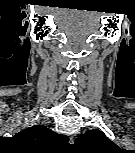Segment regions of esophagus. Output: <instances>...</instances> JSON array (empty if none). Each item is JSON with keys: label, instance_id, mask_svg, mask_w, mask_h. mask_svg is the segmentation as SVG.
<instances>
[{"label": "esophagus", "instance_id": "obj_1", "mask_svg": "<svg viewBox=\"0 0 135 153\" xmlns=\"http://www.w3.org/2000/svg\"><path fill=\"white\" fill-rule=\"evenodd\" d=\"M69 142H70L71 144L74 143V138H73V137H70Z\"/></svg>", "mask_w": 135, "mask_h": 153}]
</instances>
